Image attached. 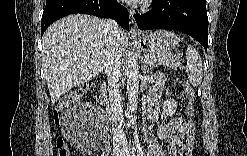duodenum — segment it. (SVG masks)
<instances>
[{"instance_id":"obj_1","label":"duodenum","mask_w":247,"mask_h":156,"mask_svg":"<svg viewBox=\"0 0 247 156\" xmlns=\"http://www.w3.org/2000/svg\"><path fill=\"white\" fill-rule=\"evenodd\" d=\"M101 93L103 95H106L108 93V87L106 84H103L102 88H101Z\"/></svg>"}]
</instances>
